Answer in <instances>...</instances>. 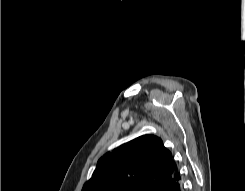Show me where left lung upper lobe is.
<instances>
[{
    "instance_id": "left-lung-upper-lobe-1",
    "label": "left lung upper lobe",
    "mask_w": 245,
    "mask_h": 191,
    "mask_svg": "<svg viewBox=\"0 0 245 191\" xmlns=\"http://www.w3.org/2000/svg\"><path fill=\"white\" fill-rule=\"evenodd\" d=\"M176 167L161 138L142 135L103 155L82 191H157Z\"/></svg>"
}]
</instances>
